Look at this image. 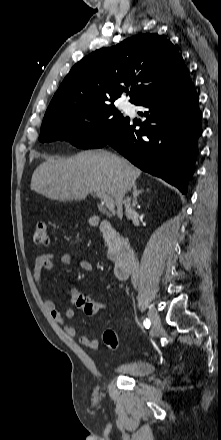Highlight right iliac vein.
Wrapping results in <instances>:
<instances>
[{
  "mask_svg": "<svg viewBox=\"0 0 221 440\" xmlns=\"http://www.w3.org/2000/svg\"><path fill=\"white\" fill-rule=\"evenodd\" d=\"M148 318L152 324L150 335L151 337H155L160 329V317L153 307L149 308Z\"/></svg>",
  "mask_w": 221,
  "mask_h": 440,
  "instance_id": "1",
  "label": "right iliac vein"
}]
</instances>
